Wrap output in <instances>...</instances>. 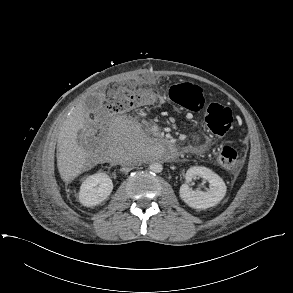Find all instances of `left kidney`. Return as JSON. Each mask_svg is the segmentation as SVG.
I'll list each match as a JSON object with an SVG mask.
<instances>
[{"label":"left kidney","instance_id":"5707ae66","mask_svg":"<svg viewBox=\"0 0 293 293\" xmlns=\"http://www.w3.org/2000/svg\"><path fill=\"white\" fill-rule=\"evenodd\" d=\"M201 177L209 182L208 191L192 190L187 183L194 177ZM226 185L223 179L212 170L203 166H193L186 172V183L180 187L181 199L194 209H207L218 204L226 194Z\"/></svg>","mask_w":293,"mask_h":293}]
</instances>
